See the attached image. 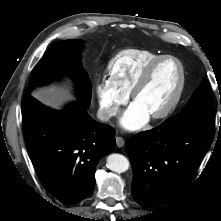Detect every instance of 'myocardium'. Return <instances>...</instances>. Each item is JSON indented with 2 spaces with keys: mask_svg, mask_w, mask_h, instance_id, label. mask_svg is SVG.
Here are the masks:
<instances>
[{
  "mask_svg": "<svg viewBox=\"0 0 221 221\" xmlns=\"http://www.w3.org/2000/svg\"><path fill=\"white\" fill-rule=\"evenodd\" d=\"M165 60H173L178 64L180 70V80L175 95L173 96L171 101L162 110L151 115L153 119H163L168 117L179 104L186 86V69L182 61L173 55H161L160 57L154 59L144 69L143 73L135 83L130 93L132 100L135 101L138 94L142 91V89L147 85L148 81L150 80L154 69Z\"/></svg>",
  "mask_w": 221,
  "mask_h": 221,
  "instance_id": "myocardium-1",
  "label": "myocardium"
}]
</instances>
